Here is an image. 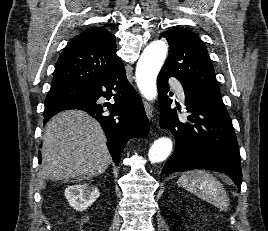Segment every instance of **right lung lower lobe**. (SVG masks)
<instances>
[{"mask_svg":"<svg viewBox=\"0 0 268 231\" xmlns=\"http://www.w3.org/2000/svg\"><path fill=\"white\" fill-rule=\"evenodd\" d=\"M112 92H115L114 95ZM113 96L114 104H101L99 97ZM66 109H80L97 119L108 139V149L118 166L125 144L133 137H145L149 123L141 99L126 78L123 63L87 87L83 98L65 101L46 108L44 123L56 113ZM41 163V155L39 156Z\"/></svg>","mask_w":268,"mask_h":231,"instance_id":"obj_1","label":"right lung lower lobe"}]
</instances>
